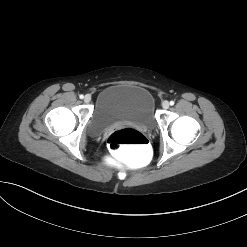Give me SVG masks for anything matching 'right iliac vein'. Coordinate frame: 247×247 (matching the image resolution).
<instances>
[{"mask_svg":"<svg viewBox=\"0 0 247 247\" xmlns=\"http://www.w3.org/2000/svg\"><path fill=\"white\" fill-rule=\"evenodd\" d=\"M91 101V96L90 95H85V97H84V102L85 103H89Z\"/></svg>","mask_w":247,"mask_h":247,"instance_id":"1","label":"right iliac vein"}]
</instances>
